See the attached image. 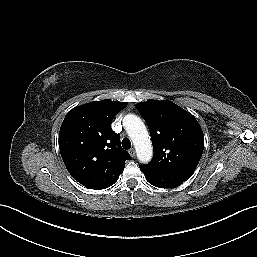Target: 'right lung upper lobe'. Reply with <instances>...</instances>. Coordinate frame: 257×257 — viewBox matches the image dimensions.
Returning <instances> with one entry per match:
<instances>
[{
    "label": "right lung upper lobe",
    "instance_id": "obj_1",
    "mask_svg": "<svg viewBox=\"0 0 257 257\" xmlns=\"http://www.w3.org/2000/svg\"><path fill=\"white\" fill-rule=\"evenodd\" d=\"M126 106L107 99L94 101L73 108L63 120L59 133L62 159L71 176L89 189L112 186L131 158L110 126Z\"/></svg>",
    "mask_w": 257,
    "mask_h": 257
}]
</instances>
